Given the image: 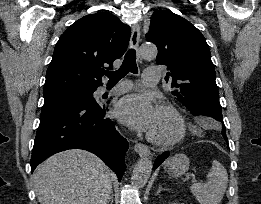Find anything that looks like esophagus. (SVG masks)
Wrapping results in <instances>:
<instances>
[{"label": "esophagus", "instance_id": "esophagus-1", "mask_svg": "<svg viewBox=\"0 0 261 204\" xmlns=\"http://www.w3.org/2000/svg\"><path fill=\"white\" fill-rule=\"evenodd\" d=\"M139 42H140V28L138 24H135L132 27L130 47L137 50L139 46ZM138 61L142 62V59L139 55H138ZM134 150L140 157H151L150 150L146 145L142 143H136L134 145Z\"/></svg>", "mask_w": 261, "mask_h": 204}]
</instances>
